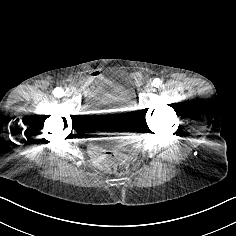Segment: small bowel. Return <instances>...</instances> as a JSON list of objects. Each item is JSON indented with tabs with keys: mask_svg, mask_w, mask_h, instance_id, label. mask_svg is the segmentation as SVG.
Returning a JSON list of instances; mask_svg holds the SVG:
<instances>
[{
	"mask_svg": "<svg viewBox=\"0 0 236 236\" xmlns=\"http://www.w3.org/2000/svg\"><path fill=\"white\" fill-rule=\"evenodd\" d=\"M103 77L104 76L101 72L94 71L82 81V85H83L84 89L88 93H90V92L93 91L94 85L96 83L100 82L103 79ZM122 140L128 141V145H130L131 147H133L134 143L136 142V140L133 136L123 137ZM91 150H92L93 155L99 160L100 163H103V164L107 163V159L102 154V150L99 146H97L95 144H92L91 145Z\"/></svg>",
	"mask_w": 236,
	"mask_h": 236,
	"instance_id": "obj_1",
	"label": "small bowel"
}]
</instances>
